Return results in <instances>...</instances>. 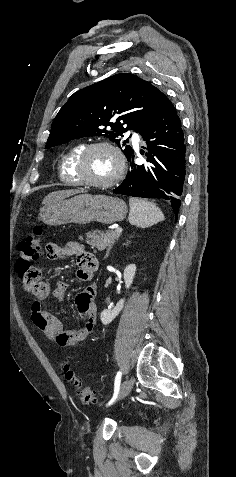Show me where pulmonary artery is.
<instances>
[{"mask_svg": "<svg viewBox=\"0 0 236 477\" xmlns=\"http://www.w3.org/2000/svg\"><path fill=\"white\" fill-rule=\"evenodd\" d=\"M133 141L135 144H137L140 141V138L138 136H134Z\"/></svg>", "mask_w": 236, "mask_h": 477, "instance_id": "1", "label": "pulmonary artery"}]
</instances>
